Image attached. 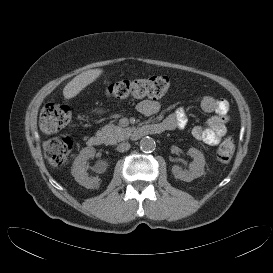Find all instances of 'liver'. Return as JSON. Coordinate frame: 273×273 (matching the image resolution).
<instances>
[{
  "mask_svg": "<svg viewBox=\"0 0 273 273\" xmlns=\"http://www.w3.org/2000/svg\"><path fill=\"white\" fill-rule=\"evenodd\" d=\"M103 69H91L74 77L63 89L65 99H71L78 95L85 87L93 83L103 73Z\"/></svg>",
  "mask_w": 273,
  "mask_h": 273,
  "instance_id": "6515ba94",
  "label": "liver"
}]
</instances>
